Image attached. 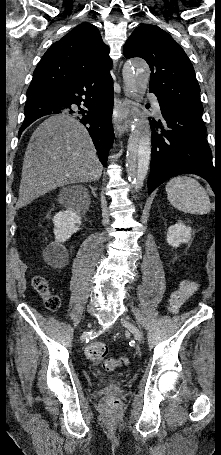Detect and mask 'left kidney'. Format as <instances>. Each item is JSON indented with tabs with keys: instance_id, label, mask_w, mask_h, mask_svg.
<instances>
[{
	"instance_id": "5707ae66",
	"label": "left kidney",
	"mask_w": 221,
	"mask_h": 455,
	"mask_svg": "<svg viewBox=\"0 0 221 455\" xmlns=\"http://www.w3.org/2000/svg\"><path fill=\"white\" fill-rule=\"evenodd\" d=\"M191 227L186 226L182 221H178L170 226L167 233V243L172 247H179L180 244L188 243L191 238Z\"/></svg>"
}]
</instances>
